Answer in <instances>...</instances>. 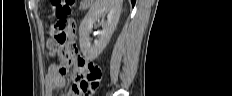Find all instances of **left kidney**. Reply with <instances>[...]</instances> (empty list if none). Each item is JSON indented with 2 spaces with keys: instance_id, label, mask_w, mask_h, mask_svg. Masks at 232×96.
Returning <instances> with one entry per match:
<instances>
[{
  "instance_id": "left-kidney-1",
  "label": "left kidney",
  "mask_w": 232,
  "mask_h": 96,
  "mask_svg": "<svg viewBox=\"0 0 232 96\" xmlns=\"http://www.w3.org/2000/svg\"><path fill=\"white\" fill-rule=\"evenodd\" d=\"M122 0H96L79 27L80 49L87 60L96 59L108 44L118 24ZM107 15V21L104 20ZM101 19L102 31L98 40L91 43L90 33L93 24Z\"/></svg>"
}]
</instances>
